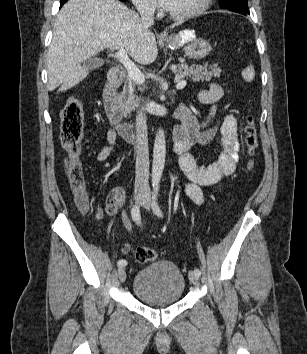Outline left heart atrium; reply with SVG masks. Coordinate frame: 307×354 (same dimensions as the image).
<instances>
[{"label": "left heart atrium", "instance_id": "1", "mask_svg": "<svg viewBox=\"0 0 307 354\" xmlns=\"http://www.w3.org/2000/svg\"><path fill=\"white\" fill-rule=\"evenodd\" d=\"M159 6L164 9L170 10L173 5L174 0H155Z\"/></svg>", "mask_w": 307, "mask_h": 354}]
</instances>
